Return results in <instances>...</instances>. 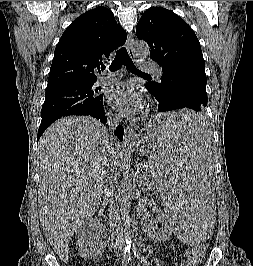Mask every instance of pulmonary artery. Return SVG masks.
<instances>
[{
  "label": "pulmonary artery",
  "instance_id": "e3ab8cb5",
  "mask_svg": "<svg viewBox=\"0 0 253 266\" xmlns=\"http://www.w3.org/2000/svg\"><path fill=\"white\" fill-rule=\"evenodd\" d=\"M141 64L143 65L144 70L152 72L158 80L162 79L163 72L159 66L146 64L144 62H142ZM120 77L121 73L119 71H113V72L107 71L101 75L100 81L103 83H111L118 80Z\"/></svg>",
  "mask_w": 253,
  "mask_h": 266
}]
</instances>
